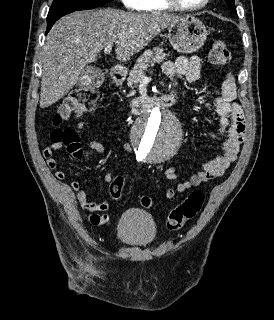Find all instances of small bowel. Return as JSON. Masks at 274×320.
Here are the masks:
<instances>
[{
	"mask_svg": "<svg viewBox=\"0 0 274 320\" xmlns=\"http://www.w3.org/2000/svg\"><path fill=\"white\" fill-rule=\"evenodd\" d=\"M163 70L169 78L183 76L189 83H195L200 78V59L197 56H180L174 61L166 62ZM236 94L235 78L231 73H227L224 76L220 91L213 101L214 112L220 118L219 135L224 137L222 153L204 163L202 169L189 179L180 181L174 187L168 188L164 193L165 199L170 200L174 198L177 193L186 192L193 187L221 176L235 161L247 130L246 117L243 108L236 102ZM77 124H81V121H77ZM78 129H81V126H78ZM87 145L90 151L96 154H101L105 150L103 144L95 140L89 141ZM54 146L62 147L63 141L55 140ZM123 150L131 152L132 147L129 144H124ZM53 151V146L42 147L43 158L48 159L47 165L51 169H55L57 166L56 160L52 157ZM72 153L77 157L82 155L80 149ZM55 176L61 180L65 177V173L58 170L55 172ZM165 176L171 181L178 180L177 171L174 167L167 168L165 170ZM114 179L115 177L111 172H106L103 175V180L106 183H112ZM70 188L76 193L78 205L83 210L89 212L87 220L90 224L99 226L108 221L109 217L105 214L109 209L108 202L89 200L86 191L78 181H72Z\"/></svg>",
	"mask_w": 274,
	"mask_h": 320,
	"instance_id": "c3829d8e",
	"label": "small bowel"
}]
</instances>
